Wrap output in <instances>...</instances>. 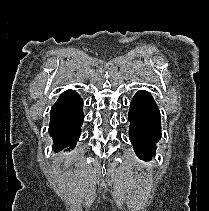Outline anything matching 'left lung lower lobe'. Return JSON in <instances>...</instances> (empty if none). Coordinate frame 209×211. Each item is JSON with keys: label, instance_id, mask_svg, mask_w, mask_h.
<instances>
[{"label": "left lung lower lobe", "instance_id": "1", "mask_svg": "<svg viewBox=\"0 0 209 211\" xmlns=\"http://www.w3.org/2000/svg\"><path fill=\"white\" fill-rule=\"evenodd\" d=\"M128 120L129 138L135 153L143 160H150L161 138L160 111L150 93L141 90L134 95Z\"/></svg>", "mask_w": 209, "mask_h": 211}]
</instances>
